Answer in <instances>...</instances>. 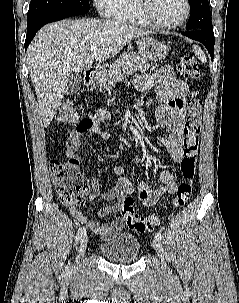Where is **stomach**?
I'll use <instances>...</instances> for the list:
<instances>
[{
	"instance_id": "0dacf381",
	"label": "stomach",
	"mask_w": 239,
	"mask_h": 303,
	"mask_svg": "<svg viewBox=\"0 0 239 303\" xmlns=\"http://www.w3.org/2000/svg\"><path fill=\"white\" fill-rule=\"evenodd\" d=\"M138 53L144 58L152 61L164 59L169 53V47L153 37H142L138 42ZM98 83H103L102 79L97 80Z\"/></svg>"
}]
</instances>
